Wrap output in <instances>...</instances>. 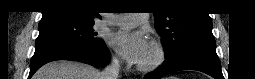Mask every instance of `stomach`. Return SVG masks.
<instances>
[{
  "mask_svg": "<svg viewBox=\"0 0 255 79\" xmlns=\"http://www.w3.org/2000/svg\"><path fill=\"white\" fill-rule=\"evenodd\" d=\"M167 79H176V78L171 76V77H168Z\"/></svg>",
  "mask_w": 255,
  "mask_h": 79,
  "instance_id": "1",
  "label": "stomach"
}]
</instances>
